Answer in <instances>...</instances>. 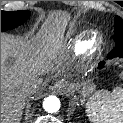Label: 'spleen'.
Listing matches in <instances>:
<instances>
[{
    "label": "spleen",
    "mask_w": 123,
    "mask_h": 123,
    "mask_svg": "<svg viewBox=\"0 0 123 123\" xmlns=\"http://www.w3.org/2000/svg\"><path fill=\"white\" fill-rule=\"evenodd\" d=\"M86 113L92 123H123V89L99 91L88 101Z\"/></svg>",
    "instance_id": "spleen-1"
}]
</instances>
